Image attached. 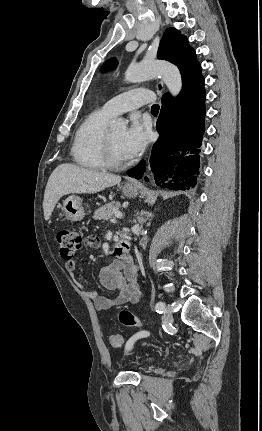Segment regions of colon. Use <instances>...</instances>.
<instances>
[{
    "label": "colon",
    "mask_w": 262,
    "mask_h": 431,
    "mask_svg": "<svg viewBox=\"0 0 262 431\" xmlns=\"http://www.w3.org/2000/svg\"><path fill=\"white\" fill-rule=\"evenodd\" d=\"M57 242L62 258L64 260L70 261L85 247H96L99 241L98 238L93 235L84 236L82 233L75 230L61 229L57 233ZM119 319L121 323L127 327L144 326V324L134 314L127 310L120 312ZM140 337L145 336L142 334ZM108 340L110 345L115 348L120 347L123 344V337L117 333L109 334Z\"/></svg>",
    "instance_id": "5ec220e1"
}]
</instances>
